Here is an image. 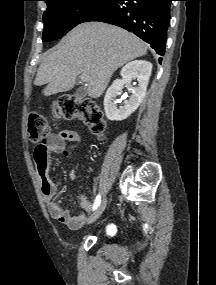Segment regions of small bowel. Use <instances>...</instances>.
<instances>
[{"mask_svg":"<svg viewBox=\"0 0 216 285\" xmlns=\"http://www.w3.org/2000/svg\"><path fill=\"white\" fill-rule=\"evenodd\" d=\"M80 139V134L77 131L61 130L57 133L49 134L46 146L44 148L36 147L34 152L41 189L49 214L53 219L65 224L72 230L80 228L85 223L87 219L86 212L91 209L92 202L84 195L78 194L80 207L85 212L74 216L69 210L64 209L58 202L54 201L53 198L58 191V185L49 176V166L52 154H63L67 157H74ZM67 142H72V145L67 146ZM74 178H77L76 173H74Z\"/></svg>","mask_w":216,"mask_h":285,"instance_id":"c3829d8e","label":"small bowel"}]
</instances>
